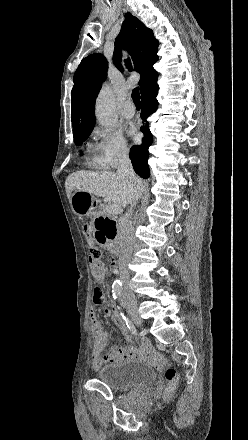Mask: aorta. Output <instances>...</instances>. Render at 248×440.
<instances>
[{"label": "aorta", "mask_w": 248, "mask_h": 440, "mask_svg": "<svg viewBox=\"0 0 248 440\" xmlns=\"http://www.w3.org/2000/svg\"><path fill=\"white\" fill-rule=\"evenodd\" d=\"M96 116L99 123L109 129L113 130L118 122V117L115 110V102L112 91L108 87H104L98 95L96 100ZM121 282L116 280L113 283L114 287H120Z\"/></svg>", "instance_id": "762f6f07"}]
</instances>
